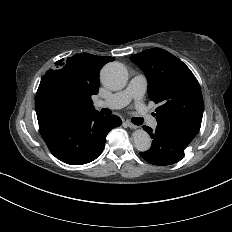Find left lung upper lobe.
<instances>
[{
  "mask_svg": "<svg viewBox=\"0 0 232 232\" xmlns=\"http://www.w3.org/2000/svg\"><path fill=\"white\" fill-rule=\"evenodd\" d=\"M148 80L150 100L156 108L157 128L190 143L199 132L203 116L200 85L191 70L161 48L130 56Z\"/></svg>",
  "mask_w": 232,
  "mask_h": 232,
  "instance_id": "5c2ea615",
  "label": "left lung upper lobe"
}]
</instances>
